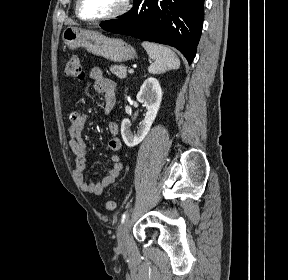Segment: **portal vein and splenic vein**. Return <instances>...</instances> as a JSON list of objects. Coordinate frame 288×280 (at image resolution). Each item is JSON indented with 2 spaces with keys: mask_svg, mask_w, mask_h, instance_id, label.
I'll return each mask as SVG.
<instances>
[{
  "mask_svg": "<svg viewBox=\"0 0 288 280\" xmlns=\"http://www.w3.org/2000/svg\"><path fill=\"white\" fill-rule=\"evenodd\" d=\"M128 72L129 73H134V70L133 69H129Z\"/></svg>",
  "mask_w": 288,
  "mask_h": 280,
  "instance_id": "portal-vein-and-splenic-vein-1",
  "label": "portal vein and splenic vein"
}]
</instances>
